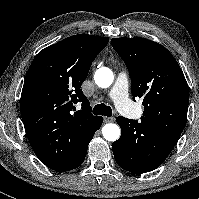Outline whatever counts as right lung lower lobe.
Segmentation results:
<instances>
[{
  "instance_id": "obj_1",
  "label": "right lung lower lobe",
  "mask_w": 199,
  "mask_h": 199,
  "mask_svg": "<svg viewBox=\"0 0 199 199\" xmlns=\"http://www.w3.org/2000/svg\"><path fill=\"white\" fill-rule=\"evenodd\" d=\"M103 118L99 117L88 129L77 132L66 141L63 154L58 157H50L47 154L48 143L43 139L41 131H37L35 136L29 138V142L38 158L48 168L58 172H65L79 167L86 156L89 142L95 132L100 128Z\"/></svg>"
}]
</instances>
